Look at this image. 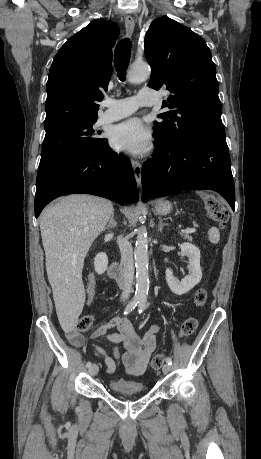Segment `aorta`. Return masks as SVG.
<instances>
[{
  "label": "aorta",
  "instance_id": "1",
  "mask_svg": "<svg viewBox=\"0 0 261 459\" xmlns=\"http://www.w3.org/2000/svg\"><path fill=\"white\" fill-rule=\"evenodd\" d=\"M150 74L151 70L148 64H133L127 78L130 83L139 84L146 81ZM134 258L136 266V291L134 297L138 301H145L149 290L148 240L145 226H141L138 229Z\"/></svg>",
  "mask_w": 261,
  "mask_h": 459
}]
</instances>
